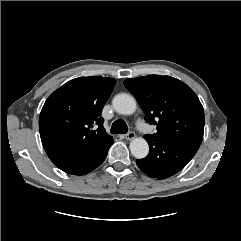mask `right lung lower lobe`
<instances>
[{"label":"right lung lower lobe","instance_id":"98d812e1","mask_svg":"<svg viewBox=\"0 0 241 241\" xmlns=\"http://www.w3.org/2000/svg\"><path fill=\"white\" fill-rule=\"evenodd\" d=\"M113 138L101 143L94 149L70 157L60 159L54 164L66 173L73 175H84L97 168L106 158Z\"/></svg>","mask_w":241,"mask_h":241}]
</instances>
